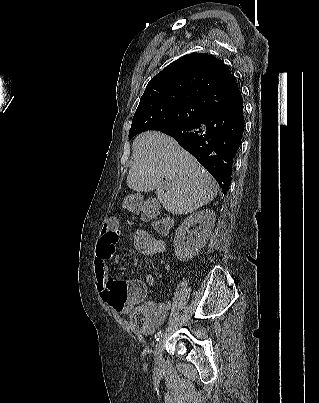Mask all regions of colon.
<instances>
[{
	"mask_svg": "<svg viewBox=\"0 0 319 403\" xmlns=\"http://www.w3.org/2000/svg\"><path fill=\"white\" fill-rule=\"evenodd\" d=\"M125 204L132 210V215L136 216L138 213L141 216L144 215L145 197L139 192H129ZM147 208L150 217H157L160 203L159 201H148ZM154 227L163 233L167 230L168 223L164 219H157ZM127 242L129 248L132 249V254H138V258H163L166 242L164 239H159L158 234H152L151 229H145L144 226H133L132 234L127 235Z\"/></svg>",
	"mask_w": 319,
	"mask_h": 403,
	"instance_id": "1",
	"label": "colon"
}]
</instances>
